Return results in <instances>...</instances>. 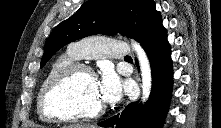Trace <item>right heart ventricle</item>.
Instances as JSON below:
<instances>
[{
  "label": "right heart ventricle",
  "mask_w": 221,
  "mask_h": 128,
  "mask_svg": "<svg viewBox=\"0 0 221 128\" xmlns=\"http://www.w3.org/2000/svg\"><path fill=\"white\" fill-rule=\"evenodd\" d=\"M78 60V57H76L69 49H67L66 52L59 54L50 64L47 73L39 87V91L37 94V110L39 115L41 116L39 112V105H38V98L39 94L43 88V86L56 74H58L60 71H62L65 67L72 63H76ZM42 117V116H41Z\"/></svg>",
  "instance_id": "obj_1"
}]
</instances>
